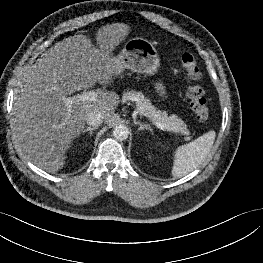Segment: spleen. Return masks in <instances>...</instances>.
<instances>
[{
	"mask_svg": "<svg viewBox=\"0 0 263 263\" xmlns=\"http://www.w3.org/2000/svg\"><path fill=\"white\" fill-rule=\"evenodd\" d=\"M215 131H208L194 141L178 147L171 173L181 178L195 170L206 159L215 141Z\"/></svg>",
	"mask_w": 263,
	"mask_h": 263,
	"instance_id": "1",
	"label": "spleen"
}]
</instances>
